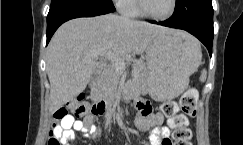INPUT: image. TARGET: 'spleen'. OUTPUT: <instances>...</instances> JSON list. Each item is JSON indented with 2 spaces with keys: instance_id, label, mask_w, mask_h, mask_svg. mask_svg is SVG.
I'll return each instance as SVG.
<instances>
[{
  "instance_id": "3e777b00",
  "label": "spleen",
  "mask_w": 243,
  "mask_h": 145,
  "mask_svg": "<svg viewBox=\"0 0 243 145\" xmlns=\"http://www.w3.org/2000/svg\"><path fill=\"white\" fill-rule=\"evenodd\" d=\"M201 58H202V54H201V52H199V54H198V62H197L198 65H199L200 62H201ZM206 77H207V71H206L205 69H203V70L201 71L200 81H201V82H205V81H206Z\"/></svg>"
}]
</instances>
